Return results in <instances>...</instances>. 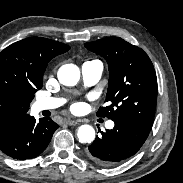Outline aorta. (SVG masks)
Here are the masks:
<instances>
[{"mask_svg":"<svg viewBox=\"0 0 183 183\" xmlns=\"http://www.w3.org/2000/svg\"><path fill=\"white\" fill-rule=\"evenodd\" d=\"M57 76L61 84L74 86L80 79V70L74 64H65L59 68ZM77 137L81 143H91L95 139V130L90 125H82L78 129Z\"/></svg>","mask_w":183,"mask_h":183,"instance_id":"762f6f07","label":"aorta"}]
</instances>
